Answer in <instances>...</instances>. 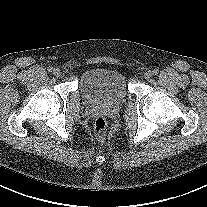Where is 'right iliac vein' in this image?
I'll return each mask as SVG.
<instances>
[{
  "label": "right iliac vein",
  "mask_w": 207,
  "mask_h": 207,
  "mask_svg": "<svg viewBox=\"0 0 207 207\" xmlns=\"http://www.w3.org/2000/svg\"><path fill=\"white\" fill-rule=\"evenodd\" d=\"M53 74H54L56 77H59V76L61 75V71H60V69H59V68H55V69L53 70Z\"/></svg>",
  "instance_id": "right-iliac-vein-1"
}]
</instances>
